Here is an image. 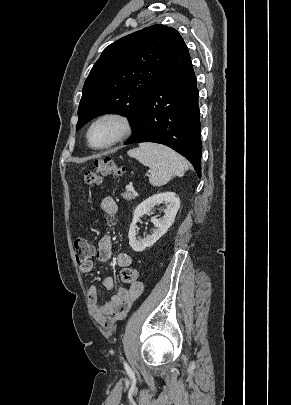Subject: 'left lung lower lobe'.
<instances>
[{"instance_id":"obj_1","label":"left lung lower lobe","mask_w":291,"mask_h":405,"mask_svg":"<svg viewBox=\"0 0 291 405\" xmlns=\"http://www.w3.org/2000/svg\"><path fill=\"white\" fill-rule=\"evenodd\" d=\"M134 131L125 144L166 145L186 157L201 177L198 89L186 45L149 90Z\"/></svg>"}]
</instances>
